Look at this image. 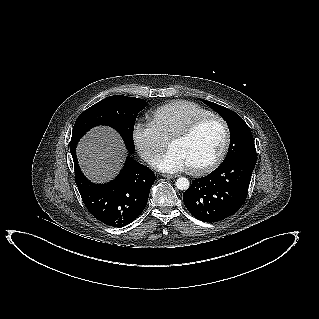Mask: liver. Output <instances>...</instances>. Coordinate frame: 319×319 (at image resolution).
Here are the masks:
<instances>
[{"mask_svg":"<svg viewBox=\"0 0 319 319\" xmlns=\"http://www.w3.org/2000/svg\"><path fill=\"white\" fill-rule=\"evenodd\" d=\"M125 156L122 138L115 130L105 126L90 130L77 146L82 172L96 183L114 178L122 168Z\"/></svg>","mask_w":319,"mask_h":319,"instance_id":"1","label":"liver"}]
</instances>
